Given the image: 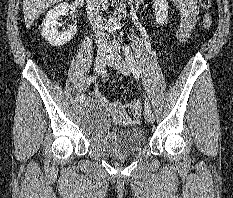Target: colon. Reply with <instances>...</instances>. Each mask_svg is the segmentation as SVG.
I'll return each instance as SVG.
<instances>
[{
	"mask_svg": "<svg viewBox=\"0 0 233 198\" xmlns=\"http://www.w3.org/2000/svg\"><path fill=\"white\" fill-rule=\"evenodd\" d=\"M201 7L204 10H208L210 8L211 0H199ZM202 25L205 29H209L212 26V16L206 12L202 19ZM128 110L132 116L138 117L142 110V104L140 100L131 101L128 104Z\"/></svg>",
	"mask_w": 233,
	"mask_h": 198,
	"instance_id": "colon-1",
	"label": "colon"
}]
</instances>
